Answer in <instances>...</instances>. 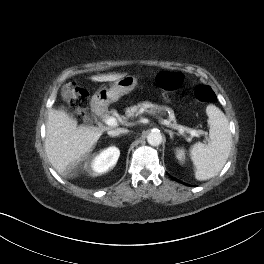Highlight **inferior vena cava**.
<instances>
[{
    "instance_id": "obj_1",
    "label": "inferior vena cava",
    "mask_w": 264,
    "mask_h": 264,
    "mask_svg": "<svg viewBox=\"0 0 264 264\" xmlns=\"http://www.w3.org/2000/svg\"><path fill=\"white\" fill-rule=\"evenodd\" d=\"M128 130L124 128H116V129H111L108 131V135L110 136H118L120 134L127 133Z\"/></svg>"
}]
</instances>
